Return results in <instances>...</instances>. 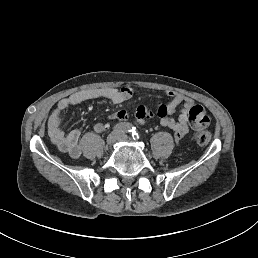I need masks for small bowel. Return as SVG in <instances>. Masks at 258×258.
<instances>
[{
	"label": "small bowel",
	"mask_w": 258,
	"mask_h": 258,
	"mask_svg": "<svg viewBox=\"0 0 258 258\" xmlns=\"http://www.w3.org/2000/svg\"><path fill=\"white\" fill-rule=\"evenodd\" d=\"M133 89L130 87L117 88H96L77 91L61 99L48 119V134L57 148L64 153H68L73 158H78L81 153L80 131L71 129L64 131L62 128V114L68 108L83 103L85 101L97 98H104L113 104H121L133 96ZM170 98L169 102L164 104L156 102V112L147 106H139L132 114L125 110H118L110 115L111 120L126 121L134 117L139 123H146L157 115L160 118V124L174 131L175 140L179 142L188 133L189 129H202L210 124V118L205 109L195 104L190 97L176 92L174 90L166 91ZM182 106L177 119L171 117L176 110ZM109 127L108 123L98 122L94 129L96 132H104Z\"/></svg>",
	"instance_id": "small-bowel-1"
}]
</instances>
